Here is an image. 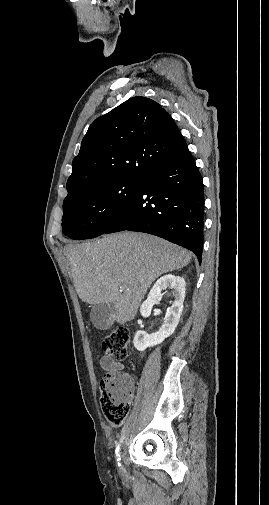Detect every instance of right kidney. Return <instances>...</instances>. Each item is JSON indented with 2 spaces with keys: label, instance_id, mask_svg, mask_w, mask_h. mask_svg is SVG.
<instances>
[{
  "label": "right kidney",
  "instance_id": "1",
  "mask_svg": "<svg viewBox=\"0 0 269 505\" xmlns=\"http://www.w3.org/2000/svg\"><path fill=\"white\" fill-rule=\"evenodd\" d=\"M172 289L174 302L169 308L164 322L158 332L147 334L145 331H137L133 343L138 351H144L148 347L162 343L165 338L172 335L180 321L185 298L186 282L183 277L172 274L159 278L149 292L147 299L140 308L143 317H149L154 304L159 303L161 292Z\"/></svg>",
  "mask_w": 269,
  "mask_h": 505
}]
</instances>
